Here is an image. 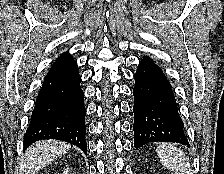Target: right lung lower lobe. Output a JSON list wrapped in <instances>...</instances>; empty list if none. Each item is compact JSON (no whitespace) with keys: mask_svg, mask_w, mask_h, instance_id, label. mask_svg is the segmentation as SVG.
<instances>
[{"mask_svg":"<svg viewBox=\"0 0 224 174\" xmlns=\"http://www.w3.org/2000/svg\"><path fill=\"white\" fill-rule=\"evenodd\" d=\"M74 59L61 55L47 73L37 96L24 150L42 139H58L78 146L86 154L84 94Z\"/></svg>","mask_w":224,"mask_h":174,"instance_id":"98d812e1","label":"right lung lower lobe"}]
</instances>
